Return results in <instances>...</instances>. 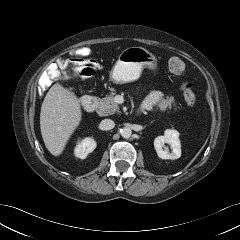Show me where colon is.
<instances>
[{"instance_id": "colon-1", "label": "colon", "mask_w": 240, "mask_h": 240, "mask_svg": "<svg viewBox=\"0 0 240 240\" xmlns=\"http://www.w3.org/2000/svg\"><path fill=\"white\" fill-rule=\"evenodd\" d=\"M90 49L81 47L73 50L70 55H63L56 59L57 64L62 69H71L76 76L81 79L91 77L95 72V61L89 59ZM170 72L176 76H182L185 72V63L178 57H172L168 62ZM183 95L188 105H194L196 94L192 85L188 82L182 84Z\"/></svg>"}]
</instances>
